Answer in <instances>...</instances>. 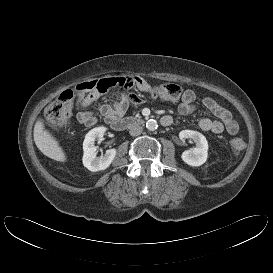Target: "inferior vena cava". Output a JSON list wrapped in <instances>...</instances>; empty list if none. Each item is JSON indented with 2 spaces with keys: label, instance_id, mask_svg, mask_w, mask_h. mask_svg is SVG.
Here are the masks:
<instances>
[{
  "label": "inferior vena cava",
  "instance_id": "1",
  "mask_svg": "<svg viewBox=\"0 0 273 273\" xmlns=\"http://www.w3.org/2000/svg\"><path fill=\"white\" fill-rule=\"evenodd\" d=\"M142 130L143 128L138 125V124H133L131 127H130V130H129V134L131 136H138L142 133Z\"/></svg>",
  "mask_w": 273,
  "mask_h": 273
}]
</instances>
